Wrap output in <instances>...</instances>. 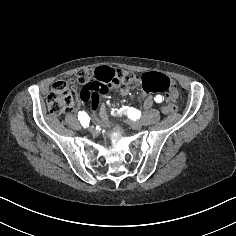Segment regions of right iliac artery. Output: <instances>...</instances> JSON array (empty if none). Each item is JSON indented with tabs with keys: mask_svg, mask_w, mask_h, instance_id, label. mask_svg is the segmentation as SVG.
I'll use <instances>...</instances> for the list:
<instances>
[{
	"mask_svg": "<svg viewBox=\"0 0 236 236\" xmlns=\"http://www.w3.org/2000/svg\"><path fill=\"white\" fill-rule=\"evenodd\" d=\"M78 120L80 121L81 125L86 128L89 127L90 118L88 114L84 111L78 113Z\"/></svg>",
	"mask_w": 236,
	"mask_h": 236,
	"instance_id": "1",
	"label": "right iliac artery"
}]
</instances>
